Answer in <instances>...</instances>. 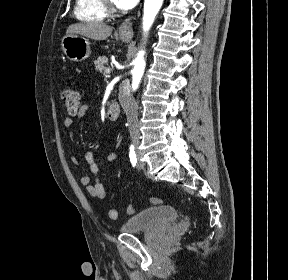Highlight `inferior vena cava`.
I'll return each mask as SVG.
<instances>
[{
  "label": "inferior vena cava",
  "instance_id": "obj_1",
  "mask_svg": "<svg viewBox=\"0 0 288 280\" xmlns=\"http://www.w3.org/2000/svg\"><path fill=\"white\" fill-rule=\"evenodd\" d=\"M129 78H122L119 85V96L117 103L121 104V110H125L127 126H129V137L133 143H142V125L139 119V105H135L136 96H129ZM138 156L137 152L133 153Z\"/></svg>",
  "mask_w": 288,
  "mask_h": 280
}]
</instances>
